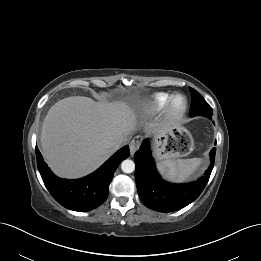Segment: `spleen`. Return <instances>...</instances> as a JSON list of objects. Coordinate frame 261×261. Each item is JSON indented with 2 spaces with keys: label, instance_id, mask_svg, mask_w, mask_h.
<instances>
[{
  "label": "spleen",
  "instance_id": "spleen-1",
  "mask_svg": "<svg viewBox=\"0 0 261 261\" xmlns=\"http://www.w3.org/2000/svg\"><path fill=\"white\" fill-rule=\"evenodd\" d=\"M201 163L200 158L164 160L158 163L160 173L171 181L181 182L186 180Z\"/></svg>",
  "mask_w": 261,
  "mask_h": 261
}]
</instances>
